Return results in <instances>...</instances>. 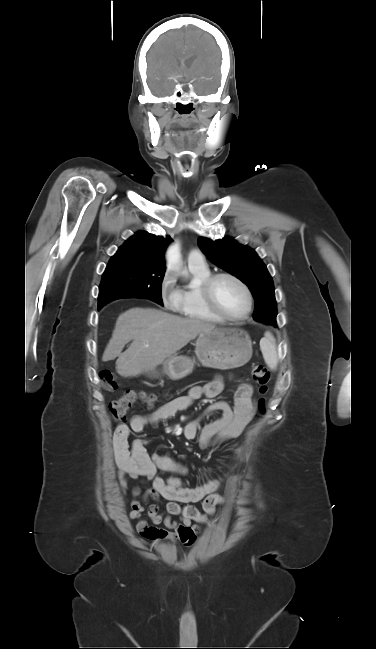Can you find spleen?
Here are the masks:
<instances>
[{"mask_svg":"<svg viewBox=\"0 0 376 649\" xmlns=\"http://www.w3.org/2000/svg\"><path fill=\"white\" fill-rule=\"evenodd\" d=\"M260 349L265 360V363L270 369H276L278 364L276 344L274 337L267 333L260 340Z\"/></svg>","mask_w":376,"mask_h":649,"instance_id":"spleen-1","label":"spleen"}]
</instances>
